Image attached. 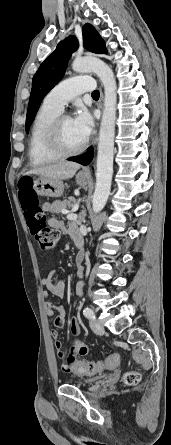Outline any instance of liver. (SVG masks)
Returning <instances> with one entry per match:
<instances>
[{
    "label": "liver",
    "instance_id": "6515ba94",
    "mask_svg": "<svg viewBox=\"0 0 171 445\" xmlns=\"http://www.w3.org/2000/svg\"><path fill=\"white\" fill-rule=\"evenodd\" d=\"M79 168L80 165L77 163L62 162L39 168H34L32 170L27 171L25 175H38L40 177H45L54 180H64L73 177Z\"/></svg>",
    "mask_w": 171,
    "mask_h": 445
}]
</instances>
